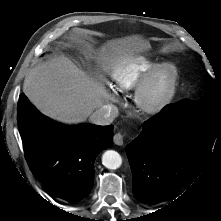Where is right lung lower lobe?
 <instances>
[{
	"label": "right lung lower lobe",
	"mask_w": 221,
	"mask_h": 221,
	"mask_svg": "<svg viewBox=\"0 0 221 221\" xmlns=\"http://www.w3.org/2000/svg\"><path fill=\"white\" fill-rule=\"evenodd\" d=\"M17 122L32 173L54 196L76 202L93 186L96 156L113 144V126H66L41 114L21 94Z\"/></svg>",
	"instance_id": "right-lung-lower-lobe-1"
}]
</instances>
